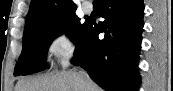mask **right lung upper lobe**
Returning a JSON list of instances; mask_svg holds the SVG:
<instances>
[{"label":"right lung upper lobe","instance_id":"1","mask_svg":"<svg viewBox=\"0 0 173 91\" xmlns=\"http://www.w3.org/2000/svg\"><path fill=\"white\" fill-rule=\"evenodd\" d=\"M76 9L73 0H31L25 29L59 21L75 14Z\"/></svg>","mask_w":173,"mask_h":91}]
</instances>
